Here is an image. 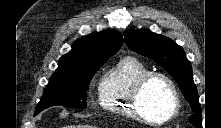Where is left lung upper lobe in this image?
I'll return each mask as SVG.
<instances>
[{
    "mask_svg": "<svg viewBox=\"0 0 221 128\" xmlns=\"http://www.w3.org/2000/svg\"><path fill=\"white\" fill-rule=\"evenodd\" d=\"M124 37L130 49L154 60L176 80L193 111L189 121L197 128L202 127V112L192 67L183 48L170 38L150 30H128Z\"/></svg>",
    "mask_w": 221,
    "mask_h": 128,
    "instance_id": "5c2ea615",
    "label": "left lung upper lobe"
}]
</instances>
